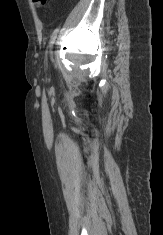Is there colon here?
<instances>
[{
  "label": "colon",
  "mask_w": 163,
  "mask_h": 235,
  "mask_svg": "<svg viewBox=\"0 0 163 235\" xmlns=\"http://www.w3.org/2000/svg\"><path fill=\"white\" fill-rule=\"evenodd\" d=\"M33 2L39 8H44L49 4V0H33Z\"/></svg>",
  "instance_id": "5ec220e1"
}]
</instances>
